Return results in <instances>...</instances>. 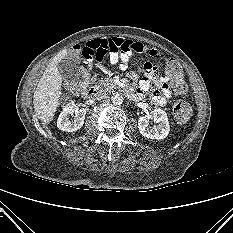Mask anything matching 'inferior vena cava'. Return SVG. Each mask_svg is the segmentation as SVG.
<instances>
[{
  "label": "inferior vena cava",
  "instance_id": "1",
  "mask_svg": "<svg viewBox=\"0 0 233 233\" xmlns=\"http://www.w3.org/2000/svg\"><path fill=\"white\" fill-rule=\"evenodd\" d=\"M96 99L99 102H106L110 99L109 95L107 93H100L97 95Z\"/></svg>",
  "mask_w": 233,
  "mask_h": 233
}]
</instances>
